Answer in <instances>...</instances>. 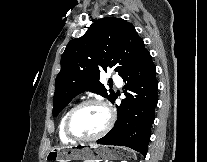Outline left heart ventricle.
Listing matches in <instances>:
<instances>
[{
	"label": "left heart ventricle",
	"mask_w": 207,
	"mask_h": 162,
	"mask_svg": "<svg viewBox=\"0 0 207 162\" xmlns=\"http://www.w3.org/2000/svg\"><path fill=\"white\" fill-rule=\"evenodd\" d=\"M107 122V112L100 105L92 104L78 112L71 121V131L78 136L99 133Z\"/></svg>",
	"instance_id": "1"
}]
</instances>
